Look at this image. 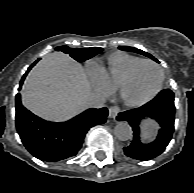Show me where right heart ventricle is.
I'll list each match as a JSON object with an SVG mask.
<instances>
[{"instance_id":"1","label":"right heart ventricle","mask_w":194,"mask_h":193,"mask_svg":"<svg viewBox=\"0 0 194 193\" xmlns=\"http://www.w3.org/2000/svg\"><path fill=\"white\" fill-rule=\"evenodd\" d=\"M143 60L140 57L117 51L108 55L97 65L99 72L111 89L115 88L120 78L135 63Z\"/></svg>"}]
</instances>
